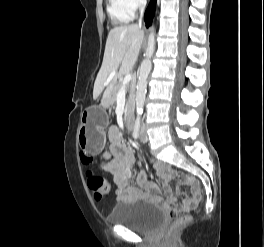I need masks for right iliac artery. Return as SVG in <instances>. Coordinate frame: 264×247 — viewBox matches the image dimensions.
Masks as SVG:
<instances>
[{
	"mask_svg": "<svg viewBox=\"0 0 264 247\" xmlns=\"http://www.w3.org/2000/svg\"><path fill=\"white\" fill-rule=\"evenodd\" d=\"M140 135V122L136 121L134 125V130H133V137L137 139Z\"/></svg>",
	"mask_w": 264,
	"mask_h": 247,
	"instance_id": "right-iliac-artery-1",
	"label": "right iliac artery"
}]
</instances>
